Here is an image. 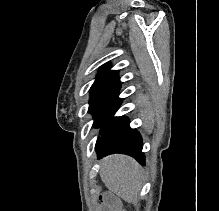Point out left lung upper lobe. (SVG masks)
Wrapping results in <instances>:
<instances>
[{
	"instance_id": "5c2ea615",
	"label": "left lung upper lobe",
	"mask_w": 219,
	"mask_h": 211,
	"mask_svg": "<svg viewBox=\"0 0 219 211\" xmlns=\"http://www.w3.org/2000/svg\"><path fill=\"white\" fill-rule=\"evenodd\" d=\"M109 69V66H103L90 88L89 112L94 117V127L101 128L102 136L111 132L123 118L113 117L122 103L118 98L121 82L117 71Z\"/></svg>"
}]
</instances>
